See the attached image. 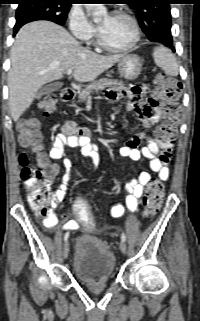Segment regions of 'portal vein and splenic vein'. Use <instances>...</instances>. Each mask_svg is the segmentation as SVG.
<instances>
[{
  "label": "portal vein and splenic vein",
  "mask_w": 200,
  "mask_h": 321,
  "mask_svg": "<svg viewBox=\"0 0 200 321\" xmlns=\"http://www.w3.org/2000/svg\"><path fill=\"white\" fill-rule=\"evenodd\" d=\"M72 71H73L72 69H68V70H67V74H68V75L72 74ZM88 98L91 99V97H88Z\"/></svg>",
  "instance_id": "obj_1"
}]
</instances>
